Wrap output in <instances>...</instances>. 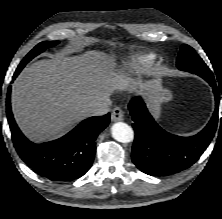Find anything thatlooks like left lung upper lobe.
<instances>
[{
    "label": "left lung upper lobe",
    "instance_id": "obj_1",
    "mask_svg": "<svg viewBox=\"0 0 222 219\" xmlns=\"http://www.w3.org/2000/svg\"><path fill=\"white\" fill-rule=\"evenodd\" d=\"M177 67L180 70L191 73L207 72L211 73L204 61L196 54L195 50L183 44L177 58Z\"/></svg>",
    "mask_w": 222,
    "mask_h": 219
}]
</instances>
